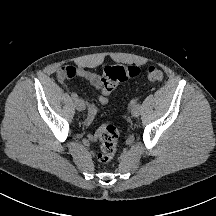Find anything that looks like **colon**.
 Returning <instances> with one entry per match:
<instances>
[{
    "label": "colon",
    "mask_w": 216,
    "mask_h": 216,
    "mask_svg": "<svg viewBox=\"0 0 216 216\" xmlns=\"http://www.w3.org/2000/svg\"><path fill=\"white\" fill-rule=\"evenodd\" d=\"M140 69L134 65H112L106 66L100 75V80L105 91L112 92L116 86L130 78L136 77ZM76 76V69L72 66H63L58 71L59 80H67ZM147 77L150 81L159 83L163 80L164 74L161 69L151 66L148 68ZM96 139L100 149L97 153V160L100 163H108L115 156L118 148L119 131L113 125H105L98 129Z\"/></svg>",
    "instance_id": "5ec220e1"
}]
</instances>
